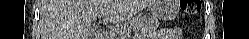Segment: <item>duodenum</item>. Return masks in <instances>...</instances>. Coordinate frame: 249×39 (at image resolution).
<instances>
[{
    "instance_id": "obj_1",
    "label": "duodenum",
    "mask_w": 249,
    "mask_h": 39,
    "mask_svg": "<svg viewBox=\"0 0 249 39\" xmlns=\"http://www.w3.org/2000/svg\"><path fill=\"white\" fill-rule=\"evenodd\" d=\"M100 38H101V39H107L108 37H107L105 34H103V35H101Z\"/></svg>"
}]
</instances>
